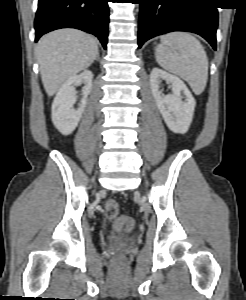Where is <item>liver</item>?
I'll list each match as a JSON object with an SVG mask.
<instances>
[{"instance_id":"6515ba94","label":"liver","mask_w":246,"mask_h":300,"mask_svg":"<svg viewBox=\"0 0 246 300\" xmlns=\"http://www.w3.org/2000/svg\"><path fill=\"white\" fill-rule=\"evenodd\" d=\"M97 54V40L82 31L60 29L44 35L36 56L46 93L54 95L67 79L87 69Z\"/></svg>"}]
</instances>
